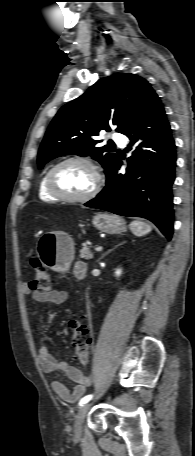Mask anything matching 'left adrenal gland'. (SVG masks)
Instances as JSON below:
<instances>
[{
	"instance_id": "a2214340",
	"label": "left adrenal gland",
	"mask_w": 195,
	"mask_h": 456,
	"mask_svg": "<svg viewBox=\"0 0 195 456\" xmlns=\"http://www.w3.org/2000/svg\"><path fill=\"white\" fill-rule=\"evenodd\" d=\"M124 243H126V241H123L122 243L116 245L114 248L108 250L106 253H104V254L99 258V260H101L103 257H105L107 254H109L111 251H113L114 249H116L118 246L123 245Z\"/></svg>"
}]
</instances>
